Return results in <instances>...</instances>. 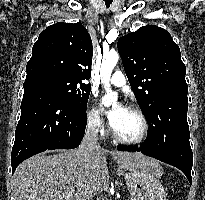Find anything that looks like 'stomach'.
<instances>
[{"label": "stomach", "mask_w": 205, "mask_h": 200, "mask_svg": "<svg viewBox=\"0 0 205 200\" xmlns=\"http://www.w3.org/2000/svg\"><path fill=\"white\" fill-rule=\"evenodd\" d=\"M156 168L160 169V166ZM119 173L126 180L132 200H166L164 188L154 171L135 169L120 170Z\"/></svg>", "instance_id": "0dacf381"}]
</instances>
